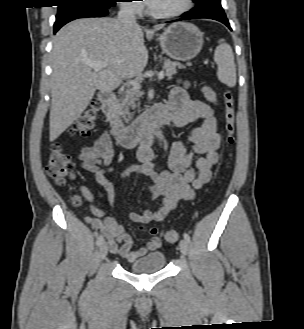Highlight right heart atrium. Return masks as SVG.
Returning a JSON list of instances; mask_svg holds the SVG:
<instances>
[{
  "label": "right heart atrium",
  "instance_id": "obj_1",
  "mask_svg": "<svg viewBox=\"0 0 304 329\" xmlns=\"http://www.w3.org/2000/svg\"><path fill=\"white\" fill-rule=\"evenodd\" d=\"M123 8L135 15H139L143 12L144 6L141 0H123Z\"/></svg>",
  "mask_w": 304,
  "mask_h": 329
}]
</instances>
